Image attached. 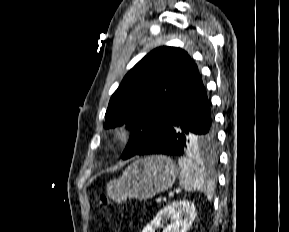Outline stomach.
I'll use <instances>...</instances> for the list:
<instances>
[{"mask_svg": "<svg viewBox=\"0 0 289 232\" xmlns=\"http://www.w3.org/2000/svg\"><path fill=\"white\" fill-rule=\"evenodd\" d=\"M177 173L170 158L162 155L145 157L129 165L119 179L110 181L107 193L118 203L128 198L149 199L172 187Z\"/></svg>", "mask_w": 289, "mask_h": 232, "instance_id": "obj_1", "label": "stomach"}]
</instances>
